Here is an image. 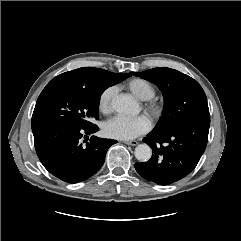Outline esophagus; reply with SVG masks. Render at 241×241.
I'll list each match as a JSON object with an SVG mask.
<instances>
[{"instance_id":"34e87169","label":"esophagus","mask_w":241,"mask_h":241,"mask_svg":"<svg viewBox=\"0 0 241 241\" xmlns=\"http://www.w3.org/2000/svg\"><path fill=\"white\" fill-rule=\"evenodd\" d=\"M125 144H127V145H130V146H136V145H138V142L137 141H125L124 142Z\"/></svg>"}]
</instances>
